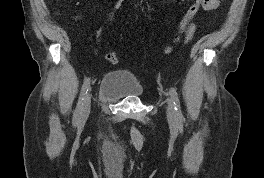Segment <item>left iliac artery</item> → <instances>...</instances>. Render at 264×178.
Wrapping results in <instances>:
<instances>
[{"instance_id": "obj_1", "label": "left iliac artery", "mask_w": 264, "mask_h": 178, "mask_svg": "<svg viewBox=\"0 0 264 178\" xmlns=\"http://www.w3.org/2000/svg\"><path fill=\"white\" fill-rule=\"evenodd\" d=\"M170 96H171V99H172L173 104H174L177 120L181 122L184 117H183V114H182V111H181L178 94H177L175 88H171L170 89Z\"/></svg>"}]
</instances>
